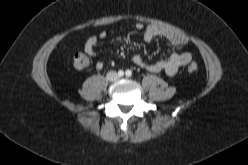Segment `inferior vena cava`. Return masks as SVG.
<instances>
[{"instance_id":"inferior-vena-cava-1","label":"inferior vena cava","mask_w":248,"mask_h":165,"mask_svg":"<svg viewBox=\"0 0 248 165\" xmlns=\"http://www.w3.org/2000/svg\"><path fill=\"white\" fill-rule=\"evenodd\" d=\"M107 77H108V79L111 80V81H115V80L118 78V76H117V74H116L115 72H110V73H108V74H107Z\"/></svg>"}]
</instances>
